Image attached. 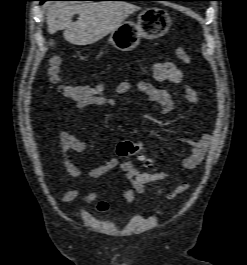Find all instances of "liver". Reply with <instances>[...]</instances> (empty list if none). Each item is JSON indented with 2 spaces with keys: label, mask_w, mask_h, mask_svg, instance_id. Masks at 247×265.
Masks as SVG:
<instances>
[{
  "label": "liver",
  "mask_w": 247,
  "mask_h": 265,
  "mask_svg": "<svg viewBox=\"0 0 247 265\" xmlns=\"http://www.w3.org/2000/svg\"><path fill=\"white\" fill-rule=\"evenodd\" d=\"M140 7L123 1L92 3L55 2L48 5L46 22L51 34L64 30L66 41L74 45L95 43L116 30L124 20ZM78 14L79 19L72 22Z\"/></svg>",
  "instance_id": "obj_1"
}]
</instances>
